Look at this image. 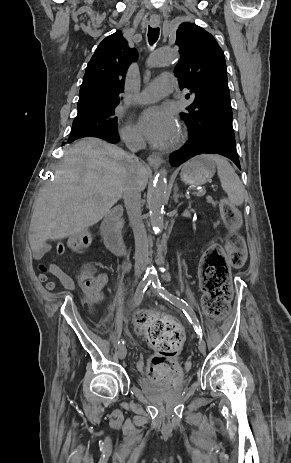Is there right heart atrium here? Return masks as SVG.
<instances>
[{"label": "right heart atrium", "mask_w": 291, "mask_h": 463, "mask_svg": "<svg viewBox=\"0 0 291 463\" xmlns=\"http://www.w3.org/2000/svg\"><path fill=\"white\" fill-rule=\"evenodd\" d=\"M122 134L124 138L133 143H139L141 141V135L138 129L134 125H127L124 127Z\"/></svg>", "instance_id": "obj_1"}]
</instances>
